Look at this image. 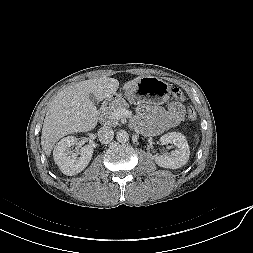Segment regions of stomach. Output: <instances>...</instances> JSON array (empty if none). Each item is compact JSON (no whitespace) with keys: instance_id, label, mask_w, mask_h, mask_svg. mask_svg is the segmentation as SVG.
I'll list each match as a JSON object with an SVG mask.
<instances>
[{"instance_id":"stomach-1","label":"stomach","mask_w":253,"mask_h":253,"mask_svg":"<svg viewBox=\"0 0 253 253\" xmlns=\"http://www.w3.org/2000/svg\"><path fill=\"white\" fill-rule=\"evenodd\" d=\"M171 94V86L164 80L154 77H141L136 85L124 89V96L130 103L163 104L167 102ZM122 97L121 94H113L108 99L116 102Z\"/></svg>"}]
</instances>
